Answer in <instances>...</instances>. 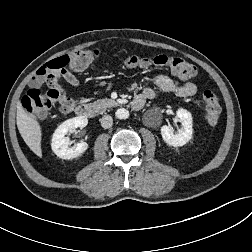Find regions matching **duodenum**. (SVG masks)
<instances>
[{
    "instance_id": "obj_1",
    "label": "duodenum",
    "mask_w": 252,
    "mask_h": 252,
    "mask_svg": "<svg viewBox=\"0 0 252 252\" xmlns=\"http://www.w3.org/2000/svg\"><path fill=\"white\" fill-rule=\"evenodd\" d=\"M144 101L141 98H135L132 101V107L135 110H139L143 107ZM77 116L82 118H94L96 115V109L92 104H81L75 108Z\"/></svg>"
}]
</instances>
